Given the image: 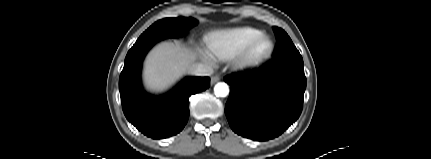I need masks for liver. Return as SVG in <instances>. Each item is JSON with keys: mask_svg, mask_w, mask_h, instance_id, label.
<instances>
[{"mask_svg": "<svg viewBox=\"0 0 431 159\" xmlns=\"http://www.w3.org/2000/svg\"><path fill=\"white\" fill-rule=\"evenodd\" d=\"M197 55L178 43L162 42L154 47L145 60L144 82L152 91H162L183 75L190 73Z\"/></svg>", "mask_w": 431, "mask_h": 159, "instance_id": "obj_1", "label": "liver"}]
</instances>
